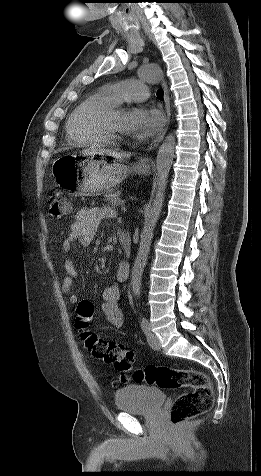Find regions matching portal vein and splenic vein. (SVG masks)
<instances>
[{
    "mask_svg": "<svg viewBox=\"0 0 261 476\" xmlns=\"http://www.w3.org/2000/svg\"><path fill=\"white\" fill-rule=\"evenodd\" d=\"M121 211H123V212L127 211V209H126L125 205H122V207H121Z\"/></svg>",
    "mask_w": 261,
    "mask_h": 476,
    "instance_id": "obj_1",
    "label": "portal vein and splenic vein"
}]
</instances>
